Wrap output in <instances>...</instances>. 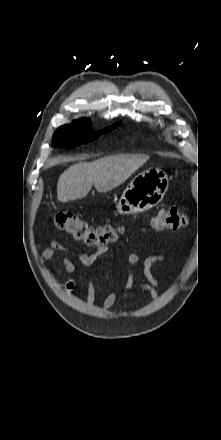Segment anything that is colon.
Here are the masks:
<instances>
[{"label":"colon","mask_w":221,"mask_h":440,"mask_svg":"<svg viewBox=\"0 0 221 440\" xmlns=\"http://www.w3.org/2000/svg\"><path fill=\"white\" fill-rule=\"evenodd\" d=\"M53 220L61 231L73 239L93 248H105L118 240L124 228L119 224H105L94 227L84 220L67 212H57ZM187 223V216L178 207L161 208L151 220V226L160 231H176Z\"/></svg>","instance_id":"1"}]
</instances>
